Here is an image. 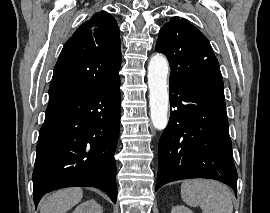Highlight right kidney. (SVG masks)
Listing matches in <instances>:
<instances>
[{
    "label": "right kidney",
    "mask_w": 270,
    "mask_h": 213,
    "mask_svg": "<svg viewBox=\"0 0 270 213\" xmlns=\"http://www.w3.org/2000/svg\"><path fill=\"white\" fill-rule=\"evenodd\" d=\"M72 213H103L102 207L95 200H87L75 208Z\"/></svg>",
    "instance_id": "obj_1"
}]
</instances>
